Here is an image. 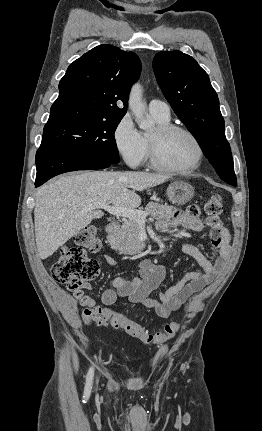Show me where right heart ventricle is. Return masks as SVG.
Returning <instances> with one entry per match:
<instances>
[{"instance_id":"right-heart-ventricle-1","label":"right heart ventricle","mask_w":262,"mask_h":431,"mask_svg":"<svg viewBox=\"0 0 262 431\" xmlns=\"http://www.w3.org/2000/svg\"><path fill=\"white\" fill-rule=\"evenodd\" d=\"M152 114V113H151ZM153 118L155 119V121L159 124V125H165V124H169L170 123V117L169 118H163L157 115L152 114ZM143 139L146 143V147H147V153H148V136L144 135Z\"/></svg>"}]
</instances>
